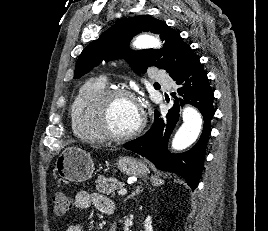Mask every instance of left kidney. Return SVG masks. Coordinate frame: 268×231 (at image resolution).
Wrapping results in <instances>:
<instances>
[{"mask_svg":"<svg viewBox=\"0 0 268 231\" xmlns=\"http://www.w3.org/2000/svg\"><path fill=\"white\" fill-rule=\"evenodd\" d=\"M144 228H145V231H153L151 216H147V218L145 219Z\"/></svg>","mask_w":268,"mask_h":231,"instance_id":"left-kidney-1","label":"left kidney"}]
</instances>
